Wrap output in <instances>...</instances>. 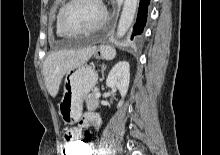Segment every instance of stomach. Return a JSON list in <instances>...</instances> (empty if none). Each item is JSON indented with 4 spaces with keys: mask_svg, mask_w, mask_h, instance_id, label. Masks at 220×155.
Returning <instances> with one entry per match:
<instances>
[{
    "mask_svg": "<svg viewBox=\"0 0 220 155\" xmlns=\"http://www.w3.org/2000/svg\"><path fill=\"white\" fill-rule=\"evenodd\" d=\"M96 54L100 58L110 59L115 56V51L101 46ZM97 79V72L87 65H81L66 75L63 96L58 104L59 115L65 124L73 125L80 119L83 101L95 87Z\"/></svg>",
    "mask_w": 220,
    "mask_h": 155,
    "instance_id": "obj_1",
    "label": "stomach"
}]
</instances>
